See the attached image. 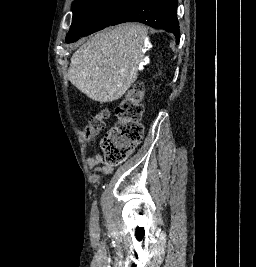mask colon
<instances>
[{
  "mask_svg": "<svg viewBox=\"0 0 256 267\" xmlns=\"http://www.w3.org/2000/svg\"><path fill=\"white\" fill-rule=\"evenodd\" d=\"M142 94L143 87L135 86L117 105V124L101 141L105 159L110 164L126 160L142 138L143 130L140 124L144 112ZM108 117L109 111L106 109L93 112L85 130L86 137L92 138L102 132Z\"/></svg>",
  "mask_w": 256,
  "mask_h": 267,
  "instance_id": "5ec220e1",
  "label": "colon"
}]
</instances>
